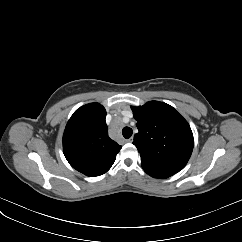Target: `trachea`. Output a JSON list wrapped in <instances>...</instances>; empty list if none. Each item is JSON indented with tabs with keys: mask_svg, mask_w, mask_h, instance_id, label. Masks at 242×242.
I'll return each mask as SVG.
<instances>
[{
	"mask_svg": "<svg viewBox=\"0 0 242 242\" xmlns=\"http://www.w3.org/2000/svg\"><path fill=\"white\" fill-rule=\"evenodd\" d=\"M133 130L130 127H124L122 130L123 137L128 139L132 136Z\"/></svg>",
	"mask_w": 242,
	"mask_h": 242,
	"instance_id": "obj_1",
	"label": "trachea"
}]
</instances>
